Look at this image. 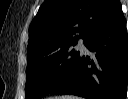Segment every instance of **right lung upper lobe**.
<instances>
[{
    "label": "right lung upper lobe",
    "instance_id": "cb5924a9",
    "mask_svg": "<svg viewBox=\"0 0 128 99\" xmlns=\"http://www.w3.org/2000/svg\"><path fill=\"white\" fill-rule=\"evenodd\" d=\"M121 4L119 0H47L29 27L27 57L85 39Z\"/></svg>",
    "mask_w": 128,
    "mask_h": 99
}]
</instances>
